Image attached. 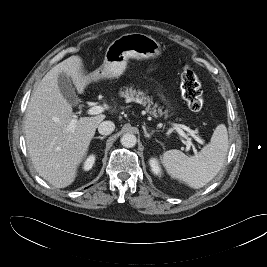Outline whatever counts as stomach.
<instances>
[{"mask_svg": "<svg viewBox=\"0 0 267 267\" xmlns=\"http://www.w3.org/2000/svg\"><path fill=\"white\" fill-rule=\"evenodd\" d=\"M161 51V45L151 36L142 33L122 35L109 45L102 66L92 74L93 79L117 78L124 73L130 58H156Z\"/></svg>", "mask_w": 267, "mask_h": 267, "instance_id": "obj_1", "label": "stomach"}]
</instances>
